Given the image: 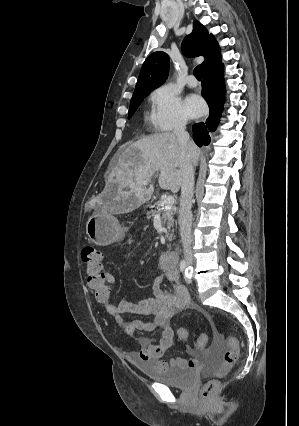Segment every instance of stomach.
Listing matches in <instances>:
<instances>
[{
	"instance_id": "stomach-1",
	"label": "stomach",
	"mask_w": 299,
	"mask_h": 426,
	"mask_svg": "<svg viewBox=\"0 0 299 426\" xmlns=\"http://www.w3.org/2000/svg\"><path fill=\"white\" fill-rule=\"evenodd\" d=\"M126 228L111 213L98 211L89 217L86 234L99 246H107L124 237Z\"/></svg>"
}]
</instances>
